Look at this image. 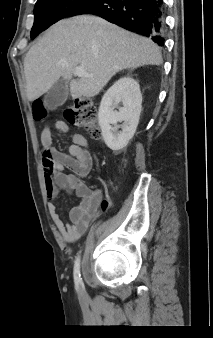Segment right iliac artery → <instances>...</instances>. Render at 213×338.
<instances>
[{
	"label": "right iliac artery",
	"mask_w": 213,
	"mask_h": 338,
	"mask_svg": "<svg viewBox=\"0 0 213 338\" xmlns=\"http://www.w3.org/2000/svg\"><path fill=\"white\" fill-rule=\"evenodd\" d=\"M74 281L76 285L81 283V274H80V258L77 257L74 264Z\"/></svg>",
	"instance_id": "obj_1"
}]
</instances>
